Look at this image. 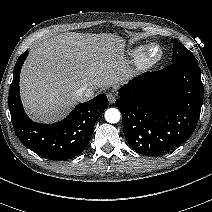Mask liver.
<instances>
[{
	"label": "liver",
	"mask_w": 212,
	"mask_h": 212,
	"mask_svg": "<svg viewBox=\"0 0 212 212\" xmlns=\"http://www.w3.org/2000/svg\"><path fill=\"white\" fill-rule=\"evenodd\" d=\"M123 40L111 34L64 33L39 42L31 50L20 77L27 113L53 122L77 103L75 91L117 86L129 75L124 68Z\"/></svg>",
	"instance_id": "6515ba94"
}]
</instances>
